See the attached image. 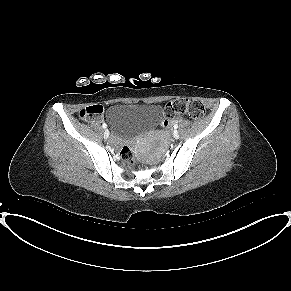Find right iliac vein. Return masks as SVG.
<instances>
[{
	"instance_id": "right-iliac-vein-1",
	"label": "right iliac vein",
	"mask_w": 291,
	"mask_h": 291,
	"mask_svg": "<svg viewBox=\"0 0 291 291\" xmlns=\"http://www.w3.org/2000/svg\"><path fill=\"white\" fill-rule=\"evenodd\" d=\"M109 137V131L105 130L104 131V138L107 139Z\"/></svg>"
}]
</instances>
